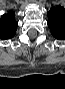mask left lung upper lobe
<instances>
[{
    "label": "left lung upper lobe",
    "mask_w": 65,
    "mask_h": 89,
    "mask_svg": "<svg viewBox=\"0 0 65 89\" xmlns=\"http://www.w3.org/2000/svg\"><path fill=\"white\" fill-rule=\"evenodd\" d=\"M48 27L55 38L65 40V9L63 7L58 5L50 9Z\"/></svg>",
    "instance_id": "obj_1"
}]
</instances>
